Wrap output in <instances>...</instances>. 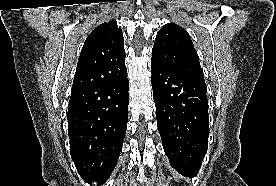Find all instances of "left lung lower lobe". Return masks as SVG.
Here are the masks:
<instances>
[{"label": "left lung lower lobe", "instance_id": "obj_1", "mask_svg": "<svg viewBox=\"0 0 276 186\" xmlns=\"http://www.w3.org/2000/svg\"><path fill=\"white\" fill-rule=\"evenodd\" d=\"M158 130L171 166L185 177L197 175L209 136L206 84L151 63Z\"/></svg>", "mask_w": 276, "mask_h": 186}]
</instances>
